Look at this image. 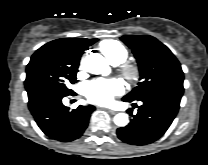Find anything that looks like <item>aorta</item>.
I'll return each mask as SVG.
<instances>
[{"instance_id": "obj_1", "label": "aorta", "mask_w": 208, "mask_h": 165, "mask_svg": "<svg viewBox=\"0 0 208 165\" xmlns=\"http://www.w3.org/2000/svg\"><path fill=\"white\" fill-rule=\"evenodd\" d=\"M84 66L89 73L92 74H107L108 64L105 58L98 53H91L84 59ZM114 123L119 127H124L129 123V118L126 113H118L114 116Z\"/></svg>"}]
</instances>
